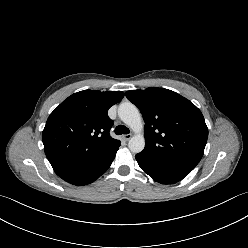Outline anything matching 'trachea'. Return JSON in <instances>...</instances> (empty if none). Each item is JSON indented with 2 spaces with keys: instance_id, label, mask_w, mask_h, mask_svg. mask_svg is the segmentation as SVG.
Here are the masks:
<instances>
[{
  "instance_id": "obj_1",
  "label": "trachea",
  "mask_w": 248,
  "mask_h": 248,
  "mask_svg": "<svg viewBox=\"0 0 248 248\" xmlns=\"http://www.w3.org/2000/svg\"><path fill=\"white\" fill-rule=\"evenodd\" d=\"M129 132H130L129 129L124 125H118L115 128V134H117V135L129 134Z\"/></svg>"
}]
</instances>
